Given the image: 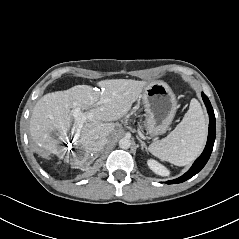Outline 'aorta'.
I'll list each match as a JSON object with an SVG mask.
<instances>
[{
	"label": "aorta",
	"mask_w": 239,
	"mask_h": 239,
	"mask_svg": "<svg viewBox=\"0 0 239 239\" xmlns=\"http://www.w3.org/2000/svg\"><path fill=\"white\" fill-rule=\"evenodd\" d=\"M131 146V140L128 137H123L119 140V147L121 149H128Z\"/></svg>",
	"instance_id": "1"
}]
</instances>
